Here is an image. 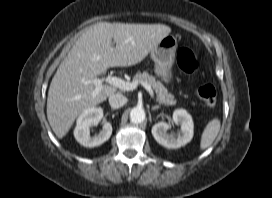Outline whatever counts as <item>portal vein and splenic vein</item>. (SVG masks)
Here are the masks:
<instances>
[{"mask_svg":"<svg viewBox=\"0 0 272 198\" xmlns=\"http://www.w3.org/2000/svg\"><path fill=\"white\" fill-rule=\"evenodd\" d=\"M103 82H106L110 85H113L121 90L124 91H131L137 88L138 86V82L132 81V82H127L124 81L118 77L115 76H107V77H103V78H95L93 80H84L85 84H94L95 85V90L94 93L97 94L101 91L102 88V84ZM142 86L147 90V92L150 94V96L152 98H154V92L151 88V86L149 84H147L146 82H142L141 83Z\"/></svg>","mask_w":272,"mask_h":198,"instance_id":"18ae733b","label":"portal vein and splenic vein"}]
</instances>
